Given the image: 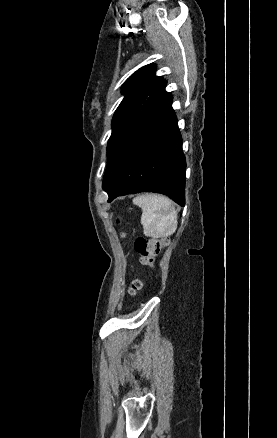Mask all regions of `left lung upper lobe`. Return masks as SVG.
I'll use <instances>...</instances> for the list:
<instances>
[{
    "instance_id": "left-lung-upper-lobe-1",
    "label": "left lung upper lobe",
    "mask_w": 277,
    "mask_h": 438,
    "mask_svg": "<svg viewBox=\"0 0 277 438\" xmlns=\"http://www.w3.org/2000/svg\"><path fill=\"white\" fill-rule=\"evenodd\" d=\"M156 66L146 65L133 73L122 85L125 94L114 113L112 133L107 146V168L103 179L106 191L115 182L129 150L134 124L141 106L152 95L172 102V96L165 91L166 81L155 76Z\"/></svg>"
}]
</instances>
